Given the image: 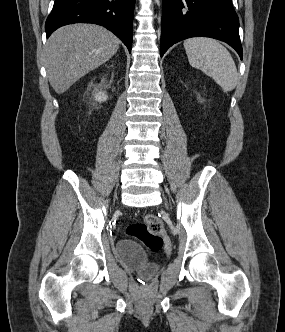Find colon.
Wrapping results in <instances>:
<instances>
[{
    "label": "colon",
    "mask_w": 285,
    "mask_h": 332,
    "mask_svg": "<svg viewBox=\"0 0 285 332\" xmlns=\"http://www.w3.org/2000/svg\"><path fill=\"white\" fill-rule=\"evenodd\" d=\"M126 233L152 252H158L162 249L166 252L171 250V244L164 234L163 223L153 214L146 215L142 222L130 224Z\"/></svg>",
    "instance_id": "1"
}]
</instances>
